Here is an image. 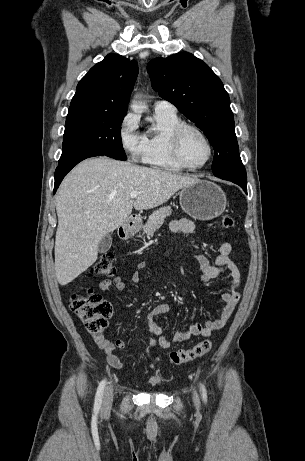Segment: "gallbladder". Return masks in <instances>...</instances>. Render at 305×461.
Listing matches in <instances>:
<instances>
[{"label": "gallbladder", "mask_w": 305, "mask_h": 461, "mask_svg": "<svg viewBox=\"0 0 305 461\" xmlns=\"http://www.w3.org/2000/svg\"><path fill=\"white\" fill-rule=\"evenodd\" d=\"M112 245V235L106 234L100 241L99 246H98V251L100 253H105L107 252Z\"/></svg>", "instance_id": "obj_1"}]
</instances>
